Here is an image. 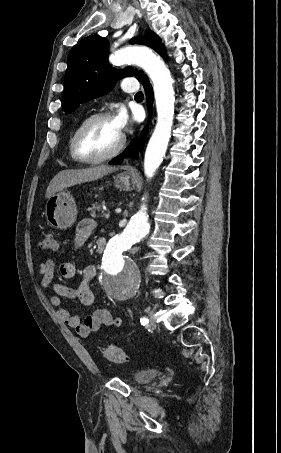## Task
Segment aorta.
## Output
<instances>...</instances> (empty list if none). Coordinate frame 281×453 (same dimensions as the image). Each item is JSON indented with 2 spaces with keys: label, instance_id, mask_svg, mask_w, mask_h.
Masks as SVG:
<instances>
[{
  "label": "aorta",
  "instance_id": "aorta-1",
  "mask_svg": "<svg viewBox=\"0 0 281 453\" xmlns=\"http://www.w3.org/2000/svg\"><path fill=\"white\" fill-rule=\"evenodd\" d=\"M110 62L113 65H137L148 74L153 83L157 123L144 157V173L151 179L163 161L171 137L175 103L173 80L164 61L147 47L121 49L110 56ZM146 210L147 207L143 204L124 231L111 238L106 245L101 265V283L104 291L114 300L129 299L139 288V270L133 260L124 255L150 230Z\"/></svg>",
  "mask_w": 281,
  "mask_h": 453
}]
</instances>
